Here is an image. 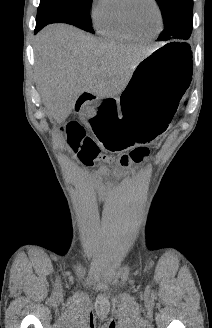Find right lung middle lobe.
I'll return each mask as SVG.
<instances>
[{
  "mask_svg": "<svg viewBox=\"0 0 212 328\" xmlns=\"http://www.w3.org/2000/svg\"><path fill=\"white\" fill-rule=\"evenodd\" d=\"M91 3L92 0H40L36 22L45 25L55 22L68 23L94 33L90 23Z\"/></svg>",
  "mask_w": 212,
  "mask_h": 328,
  "instance_id": "dd1d6c3e",
  "label": "right lung middle lobe"
}]
</instances>
